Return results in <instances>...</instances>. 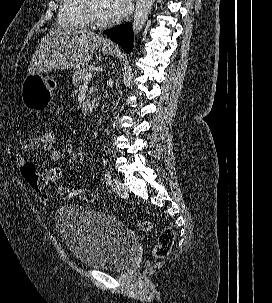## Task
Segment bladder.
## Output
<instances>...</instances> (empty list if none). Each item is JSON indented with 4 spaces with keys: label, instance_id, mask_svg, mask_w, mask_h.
<instances>
[{
    "label": "bladder",
    "instance_id": "31cf9c89",
    "mask_svg": "<svg viewBox=\"0 0 272 303\" xmlns=\"http://www.w3.org/2000/svg\"><path fill=\"white\" fill-rule=\"evenodd\" d=\"M55 224L71 254L90 269L123 270L137 251L135 233L104 212L67 204L57 210Z\"/></svg>",
    "mask_w": 272,
    "mask_h": 303
}]
</instances>
